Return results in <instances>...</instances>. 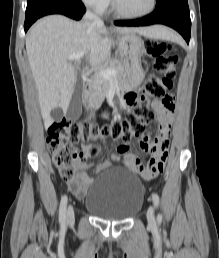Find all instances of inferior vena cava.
I'll list each match as a JSON object with an SVG mask.
<instances>
[{"label": "inferior vena cava", "instance_id": "obj_1", "mask_svg": "<svg viewBox=\"0 0 219 258\" xmlns=\"http://www.w3.org/2000/svg\"><path fill=\"white\" fill-rule=\"evenodd\" d=\"M84 20L93 22L94 24H96L98 26H103L104 25L103 21L98 16L93 14L91 11H87L85 13Z\"/></svg>", "mask_w": 219, "mask_h": 258}]
</instances>
